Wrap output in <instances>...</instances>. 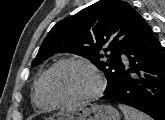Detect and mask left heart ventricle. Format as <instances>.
Segmentation results:
<instances>
[{"instance_id":"obj_1","label":"left heart ventricle","mask_w":165,"mask_h":120,"mask_svg":"<svg viewBox=\"0 0 165 120\" xmlns=\"http://www.w3.org/2000/svg\"><path fill=\"white\" fill-rule=\"evenodd\" d=\"M50 85L58 97L72 99L91 93L97 86V80L86 67L67 64L53 73Z\"/></svg>"}]
</instances>
